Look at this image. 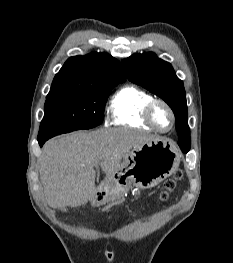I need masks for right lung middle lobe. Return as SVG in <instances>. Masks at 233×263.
<instances>
[{
    "label": "right lung middle lobe",
    "mask_w": 233,
    "mask_h": 263,
    "mask_svg": "<svg viewBox=\"0 0 233 263\" xmlns=\"http://www.w3.org/2000/svg\"><path fill=\"white\" fill-rule=\"evenodd\" d=\"M112 89L113 87L96 92L47 96L38 141L101 124L104 119L105 103Z\"/></svg>",
    "instance_id": "1"
}]
</instances>
